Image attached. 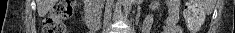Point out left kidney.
<instances>
[{"label":"left kidney","mask_w":235,"mask_h":33,"mask_svg":"<svg viewBox=\"0 0 235 33\" xmlns=\"http://www.w3.org/2000/svg\"><path fill=\"white\" fill-rule=\"evenodd\" d=\"M149 8L152 10V11H156L160 8V3L158 0H153L151 2V4L149 5Z\"/></svg>","instance_id":"left-kidney-1"}]
</instances>
